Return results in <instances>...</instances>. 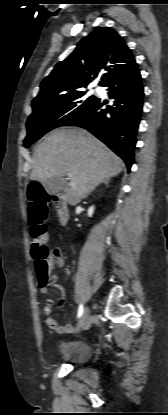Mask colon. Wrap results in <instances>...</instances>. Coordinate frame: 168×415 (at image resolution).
<instances>
[{"label":"colon","mask_w":168,"mask_h":415,"mask_svg":"<svg viewBox=\"0 0 168 415\" xmlns=\"http://www.w3.org/2000/svg\"><path fill=\"white\" fill-rule=\"evenodd\" d=\"M29 223L32 237V254L35 266L42 285L50 281V270L53 264V254L49 251L45 241L47 238V217L49 195L40 185H32L29 188Z\"/></svg>","instance_id":"1"}]
</instances>
